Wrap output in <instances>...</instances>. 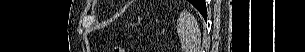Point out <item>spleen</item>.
Wrapping results in <instances>:
<instances>
[{"mask_svg": "<svg viewBox=\"0 0 305 52\" xmlns=\"http://www.w3.org/2000/svg\"><path fill=\"white\" fill-rule=\"evenodd\" d=\"M177 23L182 49L185 52H198L201 45V32L195 18L188 12H182Z\"/></svg>", "mask_w": 305, "mask_h": 52, "instance_id": "3e777b00", "label": "spleen"}]
</instances>
